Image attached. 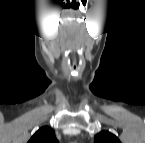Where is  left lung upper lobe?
I'll use <instances>...</instances> for the list:
<instances>
[{
    "label": "left lung upper lobe",
    "mask_w": 145,
    "mask_h": 143,
    "mask_svg": "<svg viewBox=\"0 0 145 143\" xmlns=\"http://www.w3.org/2000/svg\"><path fill=\"white\" fill-rule=\"evenodd\" d=\"M95 143H120L119 139L108 131H102L95 136Z\"/></svg>",
    "instance_id": "1"
}]
</instances>
